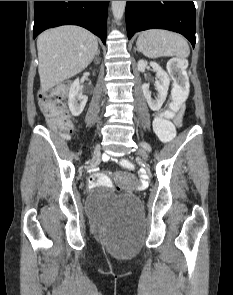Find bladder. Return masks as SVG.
<instances>
[{"mask_svg": "<svg viewBox=\"0 0 233 295\" xmlns=\"http://www.w3.org/2000/svg\"><path fill=\"white\" fill-rule=\"evenodd\" d=\"M88 212L94 218L115 216L121 213H141L137 197L132 195H100L91 193L86 201Z\"/></svg>", "mask_w": 233, "mask_h": 295, "instance_id": "31cf9c89", "label": "bladder"}]
</instances>
